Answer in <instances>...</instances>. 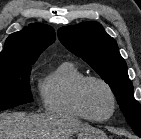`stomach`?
Listing matches in <instances>:
<instances>
[{"label":"stomach","instance_id":"0dacf381","mask_svg":"<svg viewBox=\"0 0 141 139\" xmlns=\"http://www.w3.org/2000/svg\"><path fill=\"white\" fill-rule=\"evenodd\" d=\"M77 139H108L100 130L89 127L79 131Z\"/></svg>","mask_w":141,"mask_h":139}]
</instances>
